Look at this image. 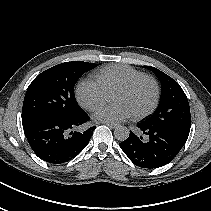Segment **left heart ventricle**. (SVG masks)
<instances>
[{
	"label": "left heart ventricle",
	"mask_w": 211,
	"mask_h": 211,
	"mask_svg": "<svg viewBox=\"0 0 211 211\" xmlns=\"http://www.w3.org/2000/svg\"><path fill=\"white\" fill-rule=\"evenodd\" d=\"M154 98V87L148 80L139 82L128 91H117L112 95V102L126 105L132 113L148 108Z\"/></svg>",
	"instance_id": "left-heart-ventricle-1"
}]
</instances>
